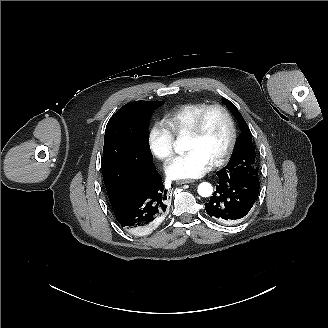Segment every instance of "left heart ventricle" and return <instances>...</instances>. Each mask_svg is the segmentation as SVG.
I'll return each instance as SVG.
<instances>
[{
	"label": "left heart ventricle",
	"mask_w": 328,
	"mask_h": 328,
	"mask_svg": "<svg viewBox=\"0 0 328 328\" xmlns=\"http://www.w3.org/2000/svg\"><path fill=\"white\" fill-rule=\"evenodd\" d=\"M231 136L227 118L220 112H212L206 119L203 130L196 137H186V150H199L213 163L226 150Z\"/></svg>",
	"instance_id": "left-heart-ventricle-1"
}]
</instances>
